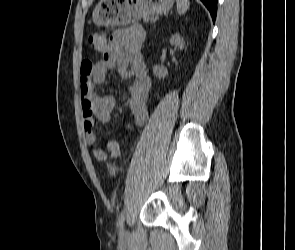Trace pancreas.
<instances>
[{"label": "pancreas", "mask_w": 295, "mask_h": 250, "mask_svg": "<svg viewBox=\"0 0 295 250\" xmlns=\"http://www.w3.org/2000/svg\"><path fill=\"white\" fill-rule=\"evenodd\" d=\"M153 20H154V19H152V18H149V17H144V21H145V22H148V21H151V22H153Z\"/></svg>", "instance_id": "pancreas-1"}]
</instances>
